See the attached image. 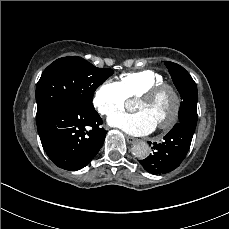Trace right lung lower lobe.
<instances>
[{
	"instance_id": "right-lung-lower-lobe-1",
	"label": "right lung lower lobe",
	"mask_w": 229,
	"mask_h": 229,
	"mask_svg": "<svg viewBox=\"0 0 229 229\" xmlns=\"http://www.w3.org/2000/svg\"><path fill=\"white\" fill-rule=\"evenodd\" d=\"M95 110L62 103L50 110L37 129L44 151L60 168L79 170L89 164L104 143L106 131Z\"/></svg>"
}]
</instances>
